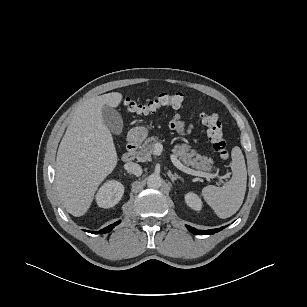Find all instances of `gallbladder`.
Instances as JSON below:
<instances>
[{"label": "gallbladder", "instance_id": "obj_1", "mask_svg": "<svg viewBox=\"0 0 307 307\" xmlns=\"http://www.w3.org/2000/svg\"><path fill=\"white\" fill-rule=\"evenodd\" d=\"M102 118L106 127L114 134L120 135L123 130V120L118 111L105 105L102 108Z\"/></svg>", "mask_w": 307, "mask_h": 307}]
</instances>
